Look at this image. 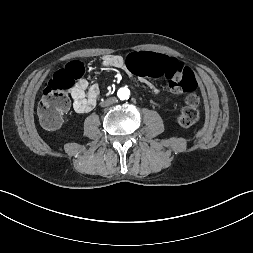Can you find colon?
<instances>
[{
    "instance_id": "1",
    "label": "colon",
    "mask_w": 253,
    "mask_h": 253,
    "mask_svg": "<svg viewBox=\"0 0 253 253\" xmlns=\"http://www.w3.org/2000/svg\"><path fill=\"white\" fill-rule=\"evenodd\" d=\"M127 66L139 76L167 79L173 90L185 94V105L176 115L177 123L182 127H190L198 122L199 97L195 93L197 81L191 69L183 62L163 53L133 51L127 57ZM84 73L82 63L72 62L50 79L37 108L40 122L45 128L59 127L70 105L69 91Z\"/></svg>"
}]
</instances>
